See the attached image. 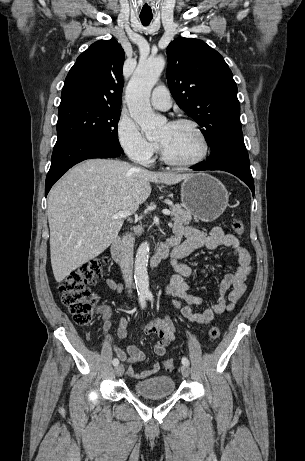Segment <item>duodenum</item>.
I'll return each mask as SVG.
<instances>
[{
	"label": "duodenum",
	"mask_w": 305,
	"mask_h": 461,
	"mask_svg": "<svg viewBox=\"0 0 305 461\" xmlns=\"http://www.w3.org/2000/svg\"><path fill=\"white\" fill-rule=\"evenodd\" d=\"M179 237L177 236H172L168 239H166L164 242H162L154 252L152 256V264L153 265H158L160 262L165 260L169 256V252L171 248H175L176 246L179 245ZM111 255L113 259L117 263H123L124 262V257H123V250H122V240L120 238H116L112 244H111Z\"/></svg>",
	"instance_id": "410a0bca"
}]
</instances>
